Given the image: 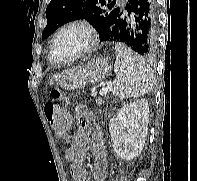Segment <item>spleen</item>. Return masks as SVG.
Returning <instances> with one entry per match:
<instances>
[{
	"mask_svg": "<svg viewBox=\"0 0 197 181\" xmlns=\"http://www.w3.org/2000/svg\"><path fill=\"white\" fill-rule=\"evenodd\" d=\"M114 71V94L120 99L136 98L154 88V74L146 62L123 43H117Z\"/></svg>",
	"mask_w": 197,
	"mask_h": 181,
	"instance_id": "1",
	"label": "spleen"
}]
</instances>
